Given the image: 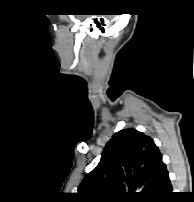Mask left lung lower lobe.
<instances>
[{"mask_svg": "<svg viewBox=\"0 0 194 202\" xmlns=\"http://www.w3.org/2000/svg\"><path fill=\"white\" fill-rule=\"evenodd\" d=\"M172 196V186L168 177V172L165 168L163 169L162 175L160 177L158 186L155 190L152 201L167 202Z\"/></svg>", "mask_w": 194, "mask_h": 202, "instance_id": "0a47b994", "label": "left lung lower lobe"}]
</instances>
